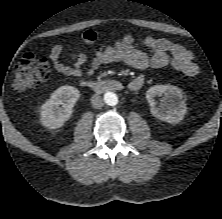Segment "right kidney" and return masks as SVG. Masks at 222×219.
<instances>
[{
	"label": "right kidney",
	"instance_id": "right-kidney-1",
	"mask_svg": "<svg viewBox=\"0 0 222 219\" xmlns=\"http://www.w3.org/2000/svg\"><path fill=\"white\" fill-rule=\"evenodd\" d=\"M79 97L80 92L73 86L65 85L55 90L41 106V124L51 129L62 127L70 119Z\"/></svg>",
	"mask_w": 222,
	"mask_h": 219
}]
</instances>
